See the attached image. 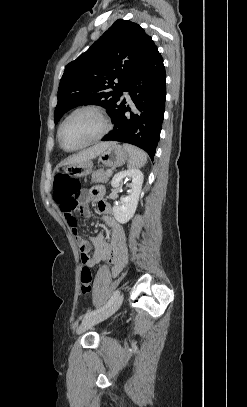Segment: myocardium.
Returning <instances> with one entry per match:
<instances>
[{
	"instance_id": "f54148a6",
	"label": "myocardium",
	"mask_w": 247,
	"mask_h": 407,
	"mask_svg": "<svg viewBox=\"0 0 247 407\" xmlns=\"http://www.w3.org/2000/svg\"><path fill=\"white\" fill-rule=\"evenodd\" d=\"M79 112H91V113L95 114V115L98 116V118L101 120V122H102V124H103V128H102L101 132H100L97 136H95V137L92 138L91 140L87 141V142L84 143L83 145H81V146H79V147H76V148L69 149V148L64 147L63 144H62V142H61V131H62V128H63L64 124L66 123V121H67L68 119H70L73 115H75V114H77V113H79ZM111 127H112L111 122H110V120L108 119L107 115L105 114V112H104L102 109H100V108H98V107H96V106H90V105L80 106V107H77V108H75L74 110H72V111L62 120V122L60 123V125H59V127H58L57 140H58L59 146H60L64 151H67V152H74V151H78V150L84 149V148H86V147H88V146H90V145H92V144H94V143L100 141L101 139H103V138L110 132Z\"/></svg>"
}]
</instances>
